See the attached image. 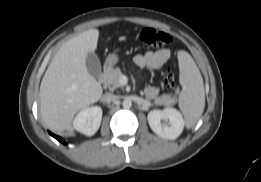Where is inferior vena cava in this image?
Wrapping results in <instances>:
<instances>
[{
	"mask_svg": "<svg viewBox=\"0 0 261 182\" xmlns=\"http://www.w3.org/2000/svg\"><path fill=\"white\" fill-rule=\"evenodd\" d=\"M117 99V96L112 93H106L101 97L103 103H111Z\"/></svg>",
	"mask_w": 261,
	"mask_h": 182,
	"instance_id": "inferior-vena-cava-1",
	"label": "inferior vena cava"
}]
</instances>
